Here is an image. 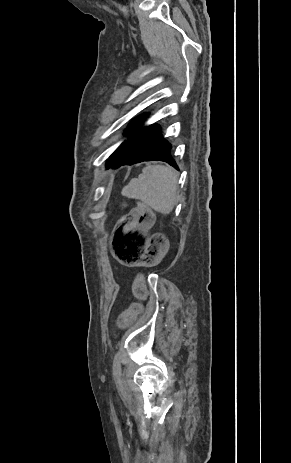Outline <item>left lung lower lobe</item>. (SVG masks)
<instances>
[{
  "mask_svg": "<svg viewBox=\"0 0 291 463\" xmlns=\"http://www.w3.org/2000/svg\"><path fill=\"white\" fill-rule=\"evenodd\" d=\"M171 144L162 136L159 126L153 129L135 149L121 158L107 161L106 167L118 168L122 165H132L143 161H164L178 169L175 160L171 156Z\"/></svg>",
  "mask_w": 291,
  "mask_h": 463,
  "instance_id": "obj_1",
  "label": "left lung lower lobe"
}]
</instances>
